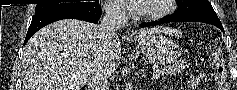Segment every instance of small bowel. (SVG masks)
I'll return each mask as SVG.
<instances>
[{"mask_svg": "<svg viewBox=\"0 0 237 90\" xmlns=\"http://www.w3.org/2000/svg\"><path fill=\"white\" fill-rule=\"evenodd\" d=\"M198 79H199V78L193 79V80L191 81V84H192V85H195V84L198 82Z\"/></svg>", "mask_w": 237, "mask_h": 90, "instance_id": "small-bowel-1", "label": "small bowel"}]
</instances>
